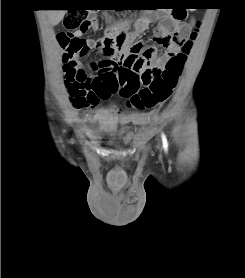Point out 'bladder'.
I'll return each mask as SVG.
<instances>
[{"mask_svg": "<svg viewBox=\"0 0 245 278\" xmlns=\"http://www.w3.org/2000/svg\"><path fill=\"white\" fill-rule=\"evenodd\" d=\"M113 137H114V135H109V139H108L109 142H113V141H114V138H113Z\"/></svg>", "mask_w": 245, "mask_h": 278, "instance_id": "bladder-1", "label": "bladder"}]
</instances>
